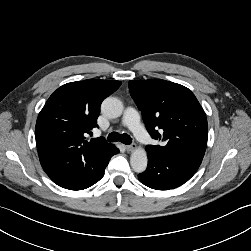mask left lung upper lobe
<instances>
[{"mask_svg":"<svg viewBox=\"0 0 251 251\" xmlns=\"http://www.w3.org/2000/svg\"><path fill=\"white\" fill-rule=\"evenodd\" d=\"M129 91L148 132L162 141L161 145L146 146L147 153L201 164L208 126L194 94L185 86L158 79L129 81Z\"/></svg>","mask_w":251,"mask_h":251,"instance_id":"left-lung-upper-lobe-1","label":"left lung upper lobe"}]
</instances>
